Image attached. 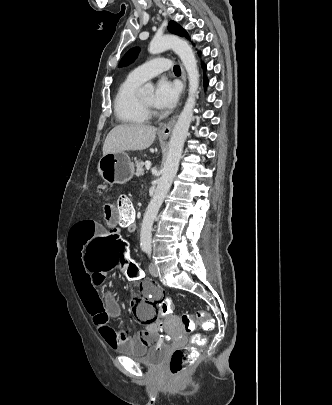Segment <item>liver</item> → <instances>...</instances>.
Here are the masks:
<instances>
[{
	"instance_id": "liver-1",
	"label": "liver",
	"mask_w": 332,
	"mask_h": 405,
	"mask_svg": "<svg viewBox=\"0 0 332 405\" xmlns=\"http://www.w3.org/2000/svg\"><path fill=\"white\" fill-rule=\"evenodd\" d=\"M157 128L145 124H121L107 135L103 145V155L123 151L145 150L156 137Z\"/></svg>"
}]
</instances>
